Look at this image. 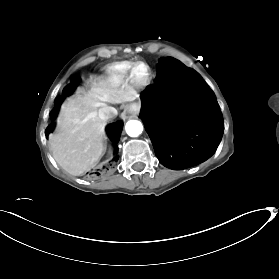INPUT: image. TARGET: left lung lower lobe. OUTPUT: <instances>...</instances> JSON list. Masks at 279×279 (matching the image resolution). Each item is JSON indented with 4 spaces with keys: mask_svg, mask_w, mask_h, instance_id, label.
<instances>
[{
    "mask_svg": "<svg viewBox=\"0 0 279 279\" xmlns=\"http://www.w3.org/2000/svg\"><path fill=\"white\" fill-rule=\"evenodd\" d=\"M141 101L146 131L162 165L182 170L215 153L223 119L214 93L198 73L163 58L155 84L141 93Z\"/></svg>",
    "mask_w": 279,
    "mask_h": 279,
    "instance_id": "0a47b994",
    "label": "left lung lower lobe"
}]
</instances>
